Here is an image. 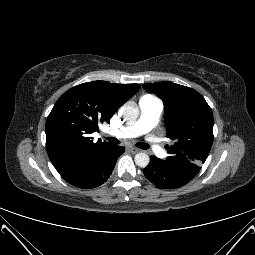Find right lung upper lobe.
Returning <instances> with one entry per match:
<instances>
[{
	"label": "right lung upper lobe",
	"instance_id": "right-lung-upper-lobe-1",
	"mask_svg": "<svg viewBox=\"0 0 255 255\" xmlns=\"http://www.w3.org/2000/svg\"><path fill=\"white\" fill-rule=\"evenodd\" d=\"M139 88V84L93 81L69 89L58 99L47 118L46 147L60 174L113 145L101 140L93 142L90 134L100 122H110L115 111Z\"/></svg>",
	"mask_w": 255,
	"mask_h": 255
}]
</instances>
